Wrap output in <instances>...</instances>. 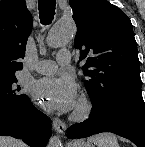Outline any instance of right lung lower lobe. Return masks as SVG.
I'll use <instances>...</instances> for the list:
<instances>
[{
  "label": "right lung lower lobe",
  "instance_id": "98d812e1",
  "mask_svg": "<svg viewBox=\"0 0 145 147\" xmlns=\"http://www.w3.org/2000/svg\"><path fill=\"white\" fill-rule=\"evenodd\" d=\"M0 136L22 139L31 147H46L50 120L28 98L21 107L0 110Z\"/></svg>",
  "mask_w": 145,
  "mask_h": 147
}]
</instances>
